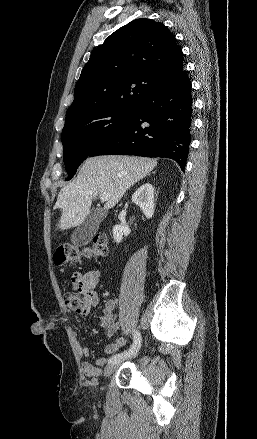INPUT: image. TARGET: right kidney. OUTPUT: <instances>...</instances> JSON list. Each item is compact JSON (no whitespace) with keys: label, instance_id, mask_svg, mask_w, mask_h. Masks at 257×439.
<instances>
[{"label":"right kidney","instance_id":"ca27d5eb","mask_svg":"<svg viewBox=\"0 0 257 439\" xmlns=\"http://www.w3.org/2000/svg\"><path fill=\"white\" fill-rule=\"evenodd\" d=\"M132 202L138 205L147 218L154 214V187L150 183L141 185L132 196ZM113 237L117 243H120L123 236H128L131 232L128 226L115 225L113 227Z\"/></svg>","mask_w":257,"mask_h":439}]
</instances>
